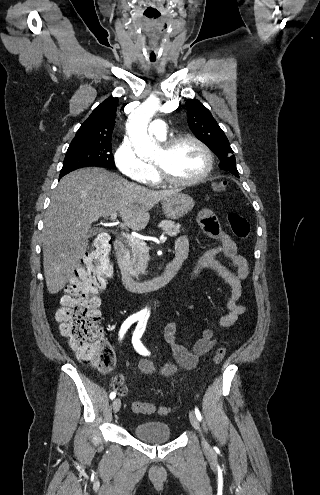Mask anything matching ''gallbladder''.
<instances>
[{"label":"gallbladder","instance_id":"obj_1","mask_svg":"<svg viewBox=\"0 0 320 495\" xmlns=\"http://www.w3.org/2000/svg\"><path fill=\"white\" fill-rule=\"evenodd\" d=\"M98 232H99V229L98 228H92V229L89 230L88 234L91 237V236L96 235Z\"/></svg>","mask_w":320,"mask_h":495}]
</instances>
